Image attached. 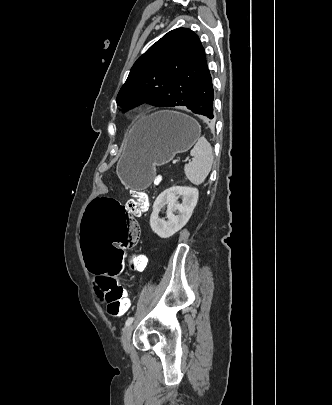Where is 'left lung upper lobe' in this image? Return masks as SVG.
Here are the masks:
<instances>
[{"label": "left lung upper lobe", "mask_w": 332, "mask_h": 405, "mask_svg": "<svg viewBox=\"0 0 332 405\" xmlns=\"http://www.w3.org/2000/svg\"><path fill=\"white\" fill-rule=\"evenodd\" d=\"M206 67L198 36L187 28L174 29L137 59L117 105L124 111L145 101L159 107H187Z\"/></svg>", "instance_id": "1"}]
</instances>
